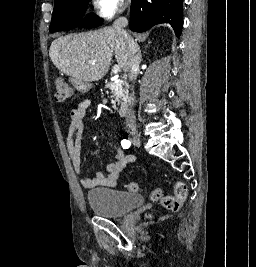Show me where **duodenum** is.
I'll list each match as a JSON object with an SVG mask.
<instances>
[{"mask_svg": "<svg viewBox=\"0 0 256 267\" xmlns=\"http://www.w3.org/2000/svg\"><path fill=\"white\" fill-rule=\"evenodd\" d=\"M72 82L75 90H83V94H91V89H88V86H92V83H98V78H73ZM130 104V99H123L118 102V112L121 116H126L129 113Z\"/></svg>", "mask_w": 256, "mask_h": 267, "instance_id": "duodenum-1", "label": "duodenum"}]
</instances>
